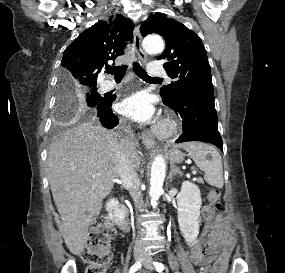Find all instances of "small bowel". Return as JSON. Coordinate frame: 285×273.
Segmentation results:
<instances>
[{
	"label": "small bowel",
	"instance_id": "c3829d8e",
	"mask_svg": "<svg viewBox=\"0 0 285 273\" xmlns=\"http://www.w3.org/2000/svg\"><path fill=\"white\" fill-rule=\"evenodd\" d=\"M206 237L204 243L191 247L190 260L196 266L213 263L216 273H224L231 256L235 240L227 233L229 222L221 215H215L209 205L202 207ZM171 263L177 269L178 263L172 258ZM175 273H180L178 270Z\"/></svg>",
	"mask_w": 285,
	"mask_h": 273
}]
</instances>
